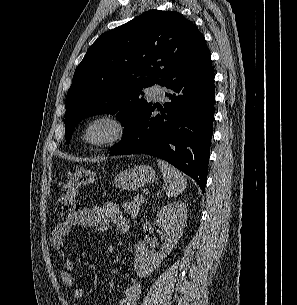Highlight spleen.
I'll use <instances>...</instances> for the list:
<instances>
[{"mask_svg": "<svg viewBox=\"0 0 297 305\" xmlns=\"http://www.w3.org/2000/svg\"><path fill=\"white\" fill-rule=\"evenodd\" d=\"M157 162L163 174L166 195L168 197H175L182 193L187 186V181L184 175L163 160L158 159Z\"/></svg>", "mask_w": 297, "mask_h": 305, "instance_id": "3e777b00", "label": "spleen"}]
</instances>
